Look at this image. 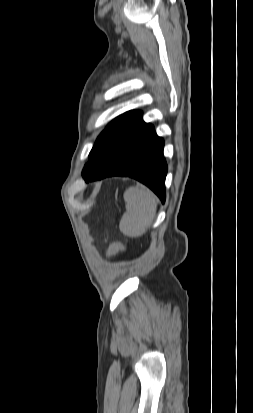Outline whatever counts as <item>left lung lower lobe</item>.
I'll use <instances>...</instances> for the list:
<instances>
[{"mask_svg": "<svg viewBox=\"0 0 253 413\" xmlns=\"http://www.w3.org/2000/svg\"><path fill=\"white\" fill-rule=\"evenodd\" d=\"M122 135L109 159L86 182L109 176H128L152 189L165 202L167 164L163 156L164 140L142 115L121 125Z\"/></svg>", "mask_w": 253, "mask_h": 413, "instance_id": "0a47b994", "label": "left lung lower lobe"}]
</instances>
